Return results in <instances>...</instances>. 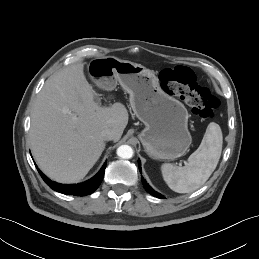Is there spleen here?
<instances>
[{
    "label": "spleen",
    "mask_w": 259,
    "mask_h": 259,
    "mask_svg": "<svg viewBox=\"0 0 259 259\" xmlns=\"http://www.w3.org/2000/svg\"><path fill=\"white\" fill-rule=\"evenodd\" d=\"M223 136L220 126L211 122L198 149L193 152L187 165L175 166L164 163L161 172L170 189L177 193H190L200 188L214 172L222 152Z\"/></svg>",
    "instance_id": "obj_1"
}]
</instances>
